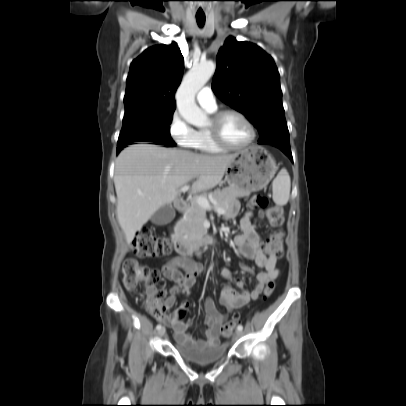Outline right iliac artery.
Returning <instances> with one entry per match:
<instances>
[{
	"label": "right iliac artery",
	"mask_w": 406,
	"mask_h": 406,
	"mask_svg": "<svg viewBox=\"0 0 406 406\" xmlns=\"http://www.w3.org/2000/svg\"><path fill=\"white\" fill-rule=\"evenodd\" d=\"M161 328H162L161 324H158V325L156 326V329H157V330H160Z\"/></svg>",
	"instance_id": "obj_1"
}]
</instances>
